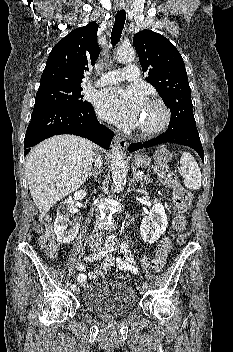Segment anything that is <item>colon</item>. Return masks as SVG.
<instances>
[{"label": "colon", "instance_id": "obj_1", "mask_svg": "<svg viewBox=\"0 0 233 352\" xmlns=\"http://www.w3.org/2000/svg\"><path fill=\"white\" fill-rule=\"evenodd\" d=\"M171 154L167 150L160 151L156 156L157 173L161 180L173 188V208L175 216L172 221L174 232H181L187 226L186 213L191 207L192 196L189 191L184 189L178 182L175 175L169 169ZM40 247L50 256H54L57 251V244L54 240L53 228L50 224L46 225L45 233L40 238ZM172 243L170 237L159 241L151 267L154 271H160L165 265L166 258L171 251ZM113 258H105L92 272V278L97 279L104 276L112 267Z\"/></svg>", "mask_w": 233, "mask_h": 352}]
</instances>
